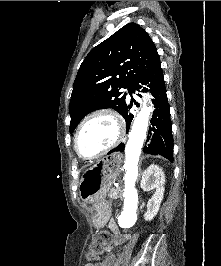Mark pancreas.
Returning <instances> with one entry per match:
<instances>
[{
	"label": "pancreas",
	"instance_id": "cf45deb5",
	"mask_svg": "<svg viewBox=\"0 0 221 266\" xmlns=\"http://www.w3.org/2000/svg\"><path fill=\"white\" fill-rule=\"evenodd\" d=\"M120 188H112L108 193V197L111 199H117L119 197Z\"/></svg>",
	"mask_w": 221,
	"mask_h": 266
}]
</instances>
